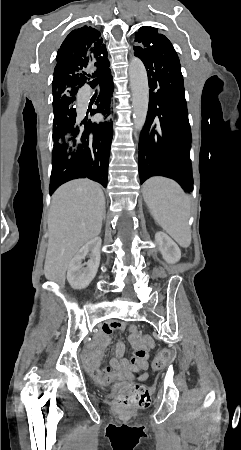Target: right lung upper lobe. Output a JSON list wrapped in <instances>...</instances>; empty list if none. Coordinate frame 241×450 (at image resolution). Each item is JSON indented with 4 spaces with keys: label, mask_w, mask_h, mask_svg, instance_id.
Wrapping results in <instances>:
<instances>
[{
    "label": "right lung upper lobe",
    "mask_w": 241,
    "mask_h": 450,
    "mask_svg": "<svg viewBox=\"0 0 241 450\" xmlns=\"http://www.w3.org/2000/svg\"><path fill=\"white\" fill-rule=\"evenodd\" d=\"M101 33L88 26L73 30L58 50L52 82L53 101L73 95L74 77L105 66L108 53Z\"/></svg>",
    "instance_id": "cb5924a9"
}]
</instances>
